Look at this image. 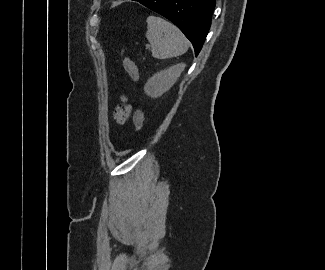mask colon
Masks as SVG:
<instances>
[{
    "label": "colon",
    "instance_id": "colon-1",
    "mask_svg": "<svg viewBox=\"0 0 325 270\" xmlns=\"http://www.w3.org/2000/svg\"><path fill=\"white\" fill-rule=\"evenodd\" d=\"M123 67L133 81H138L139 72L135 63L127 56L122 57ZM134 126L135 130L139 131L143 127L144 113L140 108H137L134 112Z\"/></svg>",
    "mask_w": 325,
    "mask_h": 270
}]
</instances>
